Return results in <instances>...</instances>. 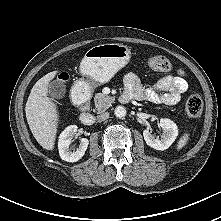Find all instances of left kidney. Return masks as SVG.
I'll list each match as a JSON object with an SVG mask.
<instances>
[{
  "instance_id": "1",
  "label": "left kidney",
  "mask_w": 221,
  "mask_h": 221,
  "mask_svg": "<svg viewBox=\"0 0 221 221\" xmlns=\"http://www.w3.org/2000/svg\"><path fill=\"white\" fill-rule=\"evenodd\" d=\"M159 127L163 129L161 139L155 138L149 128L143 131V136L146 144L156 150H166L169 148L178 136V127L170 119H161Z\"/></svg>"
}]
</instances>
